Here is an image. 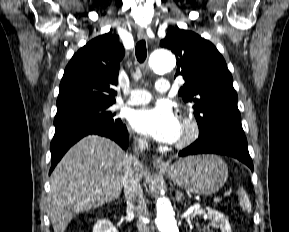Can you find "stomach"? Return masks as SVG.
Wrapping results in <instances>:
<instances>
[{"label":"stomach","instance_id":"0dacf381","mask_svg":"<svg viewBox=\"0 0 289 232\" xmlns=\"http://www.w3.org/2000/svg\"><path fill=\"white\" fill-rule=\"evenodd\" d=\"M161 173L190 193L210 195L219 191L226 182L228 167L216 155L190 156Z\"/></svg>","mask_w":289,"mask_h":232}]
</instances>
